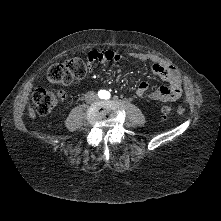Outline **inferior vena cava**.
I'll return each mask as SVG.
<instances>
[{
	"instance_id": "602c4592",
	"label": "inferior vena cava",
	"mask_w": 221,
	"mask_h": 221,
	"mask_svg": "<svg viewBox=\"0 0 221 221\" xmlns=\"http://www.w3.org/2000/svg\"><path fill=\"white\" fill-rule=\"evenodd\" d=\"M98 99V96L95 92H87L86 95H85V100L87 103H92V102H95L97 101Z\"/></svg>"
}]
</instances>
